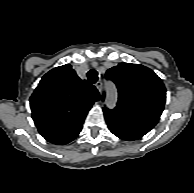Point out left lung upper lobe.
Returning a JSON list of instances; mask_svg holds the SVG:
<instances>
[{
    "mask_svg": "<svg viewBox=\"0 0 194 193\" xmlns=\"http://www.w3.org/2000/svg\"><path fill=\"white\" fill-rule=\"evenodd\" d=\"M106 78L116 84L118 102L115 109L104 111L150 128L157 124L164 109L166 89L151 69L140 64L120 63L108 69Z\"/></svg>",
    "mask_w": 194,
    "mask_h": 193,
    "instance_id": "left-lung-upper-lobe-1",
    "label": "left lung upper lobe"
}]
</instances>
